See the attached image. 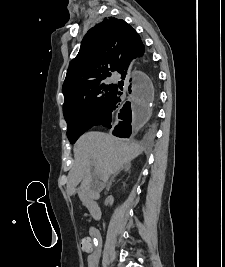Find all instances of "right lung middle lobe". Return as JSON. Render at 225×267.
Instances as JSON below:
<instances>
[{
  "mask_svg": "<svg viewBox=\"0 0 225 267\" xmlns=\"http://www.w3.org/2000/svg\"><path fill=\"white\" fill-rule=\"evenodd\" d=\"M116 88L117 85L102 79L75 90L65 98L63 114L71 143L94 126L108 108Z\"/></svg>",
  "mask_w": 225,
  "mask_h": 267,
  "instance_id": "obj_1",
  "label": "right lung middle lobe"
}]
</instances>
